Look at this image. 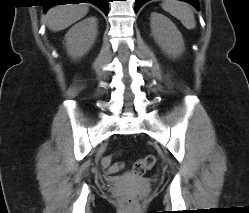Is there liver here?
Masks as SVG:
<instances>
[{
    "label": "liver",
    "instance_id": "liver-1",
    "mask_svg": "<svg viewBox=\"0 0 249 213\" xmlns=\"http://www.w3.org/2000/svg\"><path fill=\"white\" fill-rule=\"evenodd\" d=\"M87 13L86 3L59 5L47 11L44 21L50 30L61 31L83 18Z\"/></svg>",
    "mask_w": 249,
    "mask_h": 213
}]
</instances>
